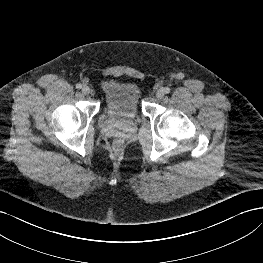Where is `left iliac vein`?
Wrapping results in <instances>:
<instances>
[{
	"label": "left iliac vein",
	"mask_w": 263,
	"mask_h": 263,
	"mask_svg": "<svg viewBox=\"0 0 263 263\" xmlns=\"http://www.w3.org/2000/svg\"><path fill=\"white\" fill-rule=\"evenodd\" d=\"M165 95L164 89L160 88L157 92H156V96L157 98H162Z\"/></svg>",
	"instance_id": "1"
}]
</instances>
